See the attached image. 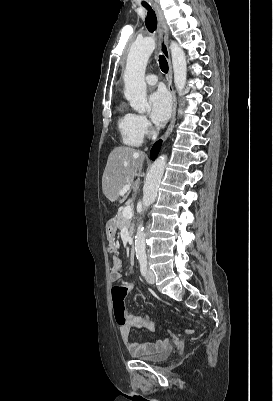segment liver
Segmentation results:
<instances>
[{"label":"liver","instance_id":"liver-1","mask_svg":"<svg viewBox=\"0 0 273 401\" xmlns=\"http://www.w3.org/2000/svg\"><path fill=\"white\" fill-rule=\"evenodd\" d=\"M144 158L142 150L130 146H116L111 150L102 176L103 192L109 201H118L119 192L125 184L136 190L139 178L134 182V176L137 170H141ZM129 192L126 196L123 194L120 203H124Z\"/></svg>","mask_w":273,"mask_h":401}]
</instances>
